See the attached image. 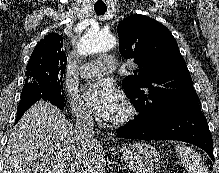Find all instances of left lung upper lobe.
I'll return each mask as SVG.
<instances>
[{
	"label": "left lung upper lobe",
	"instance_id": "5c2ea615",
	"mask_svg": "<svg viewBox=\"0 0 219 173\" xmlns=\"http://www.w3.org/2000/svg\"><path fill=\"white\" fill-rule=\"evenodd\" d=\"M120 52L134 59V75L122 87L139 114L134 120L154 121L179 106L198 103L187 65L171 32L144 15L123 19L118 27Z\"/></svg>",
	"mask_w": 219,
	"mask_h": 173
}]
</instances>
